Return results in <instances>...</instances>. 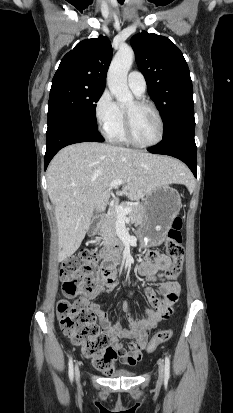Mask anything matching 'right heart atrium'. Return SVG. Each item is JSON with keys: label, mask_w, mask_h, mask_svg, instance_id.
<instances>
[{"label": "right heart atrium", "mask_w": 233, "mask_h": 413, "mask_svg": "<svg viewBox=\"0 0 233 413\" xmlns=\"http://www.w3.org/2000/svg\"><path fill=\"white\" fill-rule=\"evenodd\" d=\"M94 117L99 130L109 136L119 121V107L111 93L104 90L94 104Z\"/></svg>", "instance_id": "d8ad5b80"}]
</instances>
